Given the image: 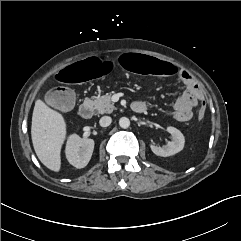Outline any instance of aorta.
<instances>
[{"label":"aorta","mask_w":241,"mask_h":241,"mask_svg":"<svg viewBox=\"0 0 241 241\" xmlns=\"http://www.w3.org/2000/svg\"><path fill=\"white\" fill-rule=\"evenodd\" d=\"M119 125H120L121 128L126 129L130 126V120L126 117H122L119 120Z\"/></svg>","instance_id":"obj_1"}]
</instances>
